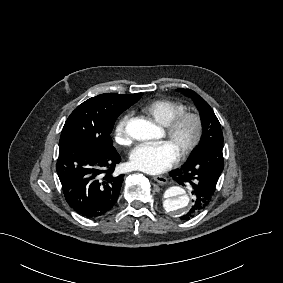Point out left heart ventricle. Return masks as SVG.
I'll list each match as a JSON object with an SVG mask.
<instances>
[{"instance_id":"b2bd125f","label":"left heart ventricle","mask_w":283,"mask_h":283,"mask_svg":"<svg viewBox=\"0 0 283 283\" xmlns=\"http://www.w3.org/2000/svg\"><path fill=\"white\" fill-rule=\"evenodd\" d=\"M194 132V127L192 122H185L178 133L174 137H168L170 143L174 146V148L180 154L182 148L189 142ZM166 136V134H164ZM163 136V137H164Z\"/></svg>"}]
</instances>
